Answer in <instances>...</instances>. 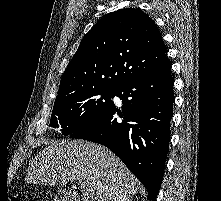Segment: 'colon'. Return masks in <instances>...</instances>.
I'll return each mask as SVG.
<instances>
[{"instance_id": "obj_1", "label": "colon", "mask_w": 221, "mask_h": 201, "mask_svg": "<svg viewBox=\"0 0 221 201\" xmlns=\"http://www.w3.org/2000/svg\"><path fill=\"white\" fill-rule=\"evenodd\" d=\"M11 201H22L20 198H18V197H13L12 199H11Z\"/></svg>"}]
</instances>
